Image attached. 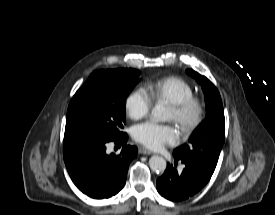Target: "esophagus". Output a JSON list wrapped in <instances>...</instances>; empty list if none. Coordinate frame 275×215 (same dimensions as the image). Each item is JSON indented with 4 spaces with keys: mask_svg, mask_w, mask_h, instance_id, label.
<instances>
[{
    "mask_svg": "<svg viewBox=\"0 0 275 215\" xmlns=\"http://www.w3.org/2000/svg\"><path fill=\"white\" fill-rule=\"evenodd\" d=\"M139 153L143 155H151L152 152L145 147H139Z\"/></svg>",
    "mask_w": 275,
    "mask_h": 215,
    "instance_id": "esophagus-1",
    "label": "esophagus"
}]
</instances>
